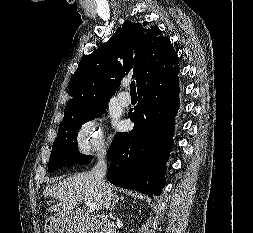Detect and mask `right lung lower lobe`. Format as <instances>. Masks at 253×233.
Wrapping results in <instances>:
<instances>
[{"instance_id":"right-lung-lower-lobe-1","label":"right lung lower lobe","mask_w":253,"mask_h":233,"mask_svg":"<svg viewBox=\"0 0 253 233\" xmlns=\"http://www.w3.org/2000/svg\"><path fill=\"white\" fill-rule=\"evenodd\" d=\"M178 73L177 65L138 90L139 102L135 111L129 112L134 128L129 133H117L107 153V179L112 184L151 198L160 194L179 108Z\"/></svg>"}]
</instances>
